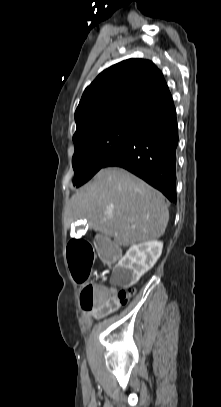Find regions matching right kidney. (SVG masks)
I'll return each mask as SVG.
<instances>
[{
  "label": "right kidney",
  "mask_w": 221,
  "mask_h": 407,
  "mask_svg": "<svg viewBox=\"0 0 221 407\" xmlns=\"http://www.w3.org/2000/svg\"><path fill=\"white\" fill-rule=\"evenodd\" d=\"M162 248L157 240L132 245L113 270L119 284L125 288L136 284L154 266Z\"/></svg>",
  "instance_id": "right-kidney-1"
}]
</instances>
